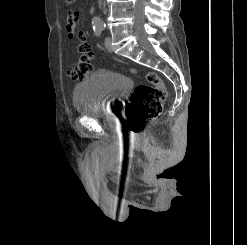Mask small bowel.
I'll return each mask as SVG.
<instances>
[{"instance_id":"c3829d8e","label":"small bowel","mask_w":247,"mask_h":245,"mask_svg":"<svg viewBox=\"0 0 247 245\" xmlns=\"http://www.w3.org/2000/svg\"><path fill=\"white\" fill-rule=\"evenodd\" d=\"M76 25H77V15L73 9L68 10L67 17V29H68V37L73 39L76 36ZM80 38H84V34L79 33Z\"/></svg>"}]
</instances>
